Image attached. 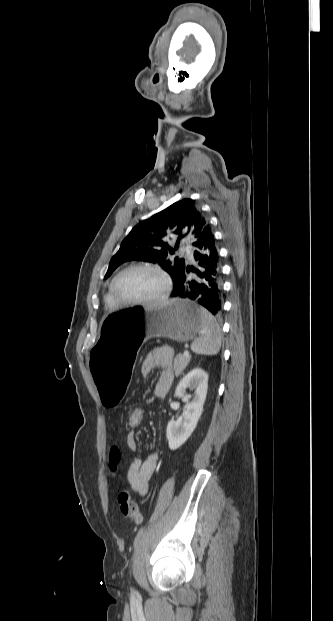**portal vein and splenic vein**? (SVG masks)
I'll return each instance as SVG.
<instances>
[{"label":"portal vein and splenic vein","instance_id":"1","mask_svg":"<svg viewBox=\"0 0 333 621\" xmlns=\"http://www.w3.org/2000/svg\"><path fill=\"white\" fill-rule=\"evenodd\" d=\"M183 355H184L185 357H189V352H188V351H184Z\"/></svg>","mask_w":333,"mask_h":621}]
</instances>
